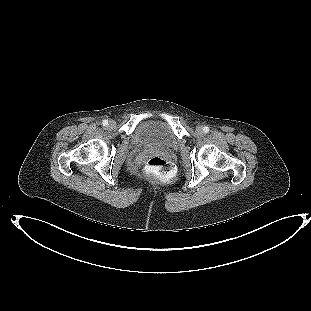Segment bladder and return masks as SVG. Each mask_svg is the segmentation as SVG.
Returning <instances> with one entry per match:
<instances>
[{"mask_svg": "<svg viewBox=\"0 0 311 311\" xmlns=\"http://www.w3.org/2000/svg\"><path fill=\"white\" fill-rule=\"evenodd\" d=\"M134 141L145 147L175 149L178 138L170 124L160 119L144 122L134 133Z\"/></svg>", "mask_w": 311, "mask_h": 311, "instance_id": "bladder-1", "label": "bladder"}]
</instances>
